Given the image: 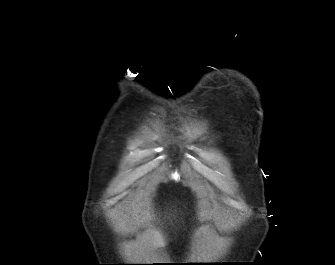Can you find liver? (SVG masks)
I'll use <instances>...</instances> for the list:
<instances>
[{
	"instance_id": "obj_1",
	"label": "liver",
	"mask_w": 335,
	"mask_h": 265,
	"mask_svg": "<svg viewBox=\"0 0 335 265\" xmlns=\"http://www.w3.org/2000/svg\"><path fill=\"white\" fill-rule=\"evenodd\" d=\"M155 241H156V244L159 245V246H162L164 243H163V240L161 239L160 235L155 232Z\"/></svg>"
}]
</instances>
